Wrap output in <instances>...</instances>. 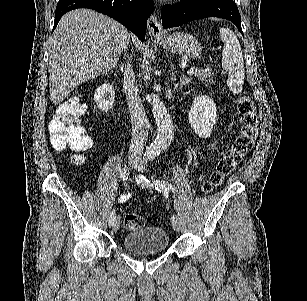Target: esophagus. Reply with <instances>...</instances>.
Segmentation results:
<instances>
[{"instance_id": "esophagus-1", "label": "esophagus", "mask_w": 307, "mask_h": 301, "mask_svg": "<svg viewBox=\"0 0 307 301\" xmlns=\"http://www.w3.org/2000/svg\"><path fill=\"white\" fill-rule=\"evenodd\" d=\"M147 29L152 39L160 40L163 34L162 25L157 15H151L147 22Z\"/></svg>"}]
</instances>
